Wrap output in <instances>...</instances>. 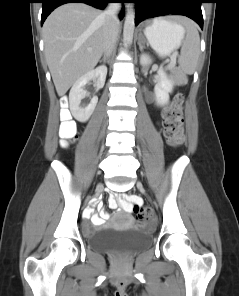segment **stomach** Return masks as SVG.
<instances>
[{"label": "stomach", "instance_id": "1", "mask_svg": "<svg viewBox=\"0 0 239 296\" xmlns=\"http://www.w3.org/2000/svg\"><path fill=\"white\" fill-rule=\"evenodd\" d=\"M144 35L160 56H167L180 46L184 30L176 23L158 19L144 29Z\"/></svg>", "mask_w": 239, "mask_h": 296}]
</instances>
